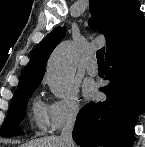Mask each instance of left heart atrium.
Wrapping results in <instances>:
<instances>
[{
	"mask_svg": "<svg viewBox=\"0 0 145 147\" xmlns=\"http://www.w3.org/2000/svg\"><path fill=\"white\" fill-rule=\"evenodd\" d=\"M85 93L88 98H92V97H94L96 91L93 86H87L85 89Z\"/></svg>",
	"mask_w": 145,
	"mask_h": 147,
	"instance_id": "obj_1",
	"label": "left heart atrium"
}]
</instances>
